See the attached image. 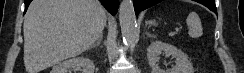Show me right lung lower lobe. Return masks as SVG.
<instances>
[{
  "label": "right lung lower lobe",
  "instance_id": "right-lung-lower-lobe-1",
  "mask_svg": "<svg viewBox=\"0 0 244 73\" xmlns=\"http://www.w3.org/2000/svg\"><path fill=\"white\" fill-rule=\"evenodd\" d=\"M32 0H24L25 3V11L26 12L30 2ZM101 1V3L104 5V7L112 14L115 15L117 10H118V6H119V0H99Z\"/></svg>",
  "mask_w": 244,
  "mask_h": 73
}]
</instances>
